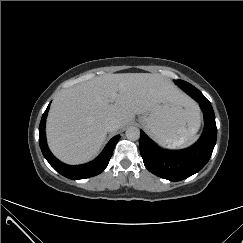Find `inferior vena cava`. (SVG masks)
Wrapping results in <instances>:
<instances>
[{
    "label": "inferior vena cava",
    "mask_w": 243,
    "mask_h": 243,
    "mask_svg": "<svg viewBox=\"0 0 243 243\" xmlns=\"http://www.w3.org/2000/svg\"><path fill=\"white\" fill-rule=\"evenodd\" d=\"M105 125H106L107 131H109V132L116 131L120 128V123L116 119L108 120Z\"/></svg>",
    "instance_id": "obj_1"
}]
</instances>
